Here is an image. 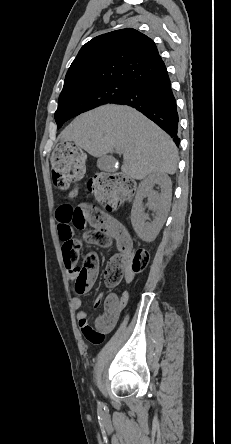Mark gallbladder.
Wrapping results in <instances>:
<instances>
[{"label": "gallbladder", "mask_w": 231, "mask_h": 444, "mask_svg": "<svg viewBox=\"0 0 231 444\" xmlns=\"http://www.w3.org/2000/svg\"><path fill=\"white\" fill-rule=\"evenodd\" d=\"M105 158H106V157H102V158L99 160V162H98V165H99V167H100L101 169H103L102 163H103V160H104Z\"/></svg>", "instance_id": "1"}]
</instances>
